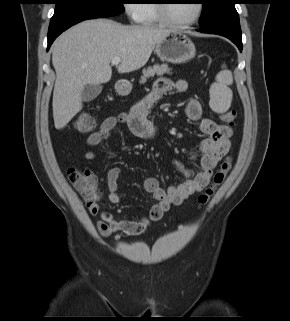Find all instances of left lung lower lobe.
I'll return each instance as SVG.
<instances>
[{"label":"left lung lower lobe","mask_w":290,"mask_h":321,"mask_svg":"<svg viewBox=\"0 0 290 321\" xmlns=\"http://www.w3.org/2000/svg\"><path fill=\"white\" fill-rule=\"evenodd\" d=\"M199 31L224 36L230 39L240 52L242 51V33L237 11L215 23L201 27Z\"/></svg>","instance_id":"obj_1"}]
</instances>
